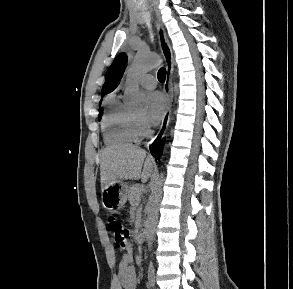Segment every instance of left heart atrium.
<instances>
[{"instance_id":"obj_1","label":"left heart atrium","mask_w":293,"mask_h":289,"mask_svg":"<svg viewBox=\"0 0 293 289\" xmlns=\"http://www.w3.org/2000/svg\"><path fill=\"white\" fill-rule=\"evenodd\" d=\"M167 110V100L160 92H150L146 97L145 119L150 124L159 122Z\"/></svg>"}]
</instances>
